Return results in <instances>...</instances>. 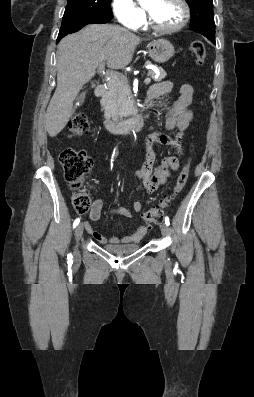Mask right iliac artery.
I'll return each mask as SVG.
<instances>
[{"label": "right iliac artery", "mask_w": 254, "mask_h": 397, "mask_svg": "<svg viewBox=\"0 0 254 397\" xmlns=\"http://www.w3.org/2000/svg\"><path fill=\"white\" fill-rule=\"evenodd\" d=\"M80 222V218H77L74 223H73V227L75 228ZM71 254L68 255V260H71Z\"/></svg>", "instance_id": "1"}]
</instances>
